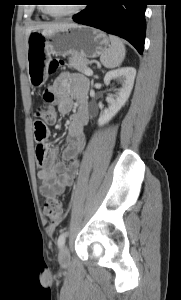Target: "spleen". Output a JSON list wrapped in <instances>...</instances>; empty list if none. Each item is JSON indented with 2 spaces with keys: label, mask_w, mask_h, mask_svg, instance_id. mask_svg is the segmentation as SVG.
<instances>
[{
  "label": "spleen",
  "mask_w": 181,
  "mask_h": 300,
  "mask_svg": "<svg viewBox=\"0 0 181 300\" xmlns=\"http://www.w3.org/2000/svg\"><path fill=\"white\" fill-rule=\"evenodd\" d=\"M110 47L105 50L101 56L100 61L104 65V67L108 69L119 67L126 54L125 46L122 40L114 35H110Z\"/></svg>",
  "instance_id": "1"
}]
</instances>
